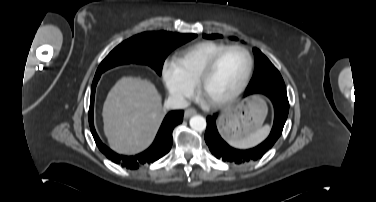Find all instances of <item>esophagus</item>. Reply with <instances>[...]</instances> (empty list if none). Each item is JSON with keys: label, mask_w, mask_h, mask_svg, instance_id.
<instances>
[{"label": "esophagus", "mask_w": 376, "mask_h": 202, "mask_svg": "<svg viewBox=\"0 0 376 202\" xmlns=\"http://www.w3.org/2000/svg\"><path fill=\"white\" fill-rule=\"evenodd\" d=\"M197 113V111L194 109V108H188L185 113H184V117L185 118H189L193 115H195Z\"/></svg>", "instance_id": "1"}]
</instances>
